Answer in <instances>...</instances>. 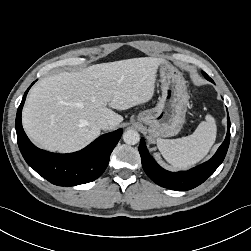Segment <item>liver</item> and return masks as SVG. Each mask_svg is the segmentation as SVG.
<instances>
[{
    "label": "liver",
    "instance_id": "obj_1",
    "mask_svg": "<svg viewBox=\"0 0 251 251\" xmlns=\"http://www.w3.org/2000/svg\"><path fill=\"white\" fill-rule=\"evenodd\" d=\"M163 62L154 57L133 58L45 77L27 96L23 128L43 149L77 151L100 135L99 118L117 126L123 117L112 109L126 110L152 98L156 72Z\"/></svg>",
    "mask_w": 251,
    "mask_h": 251
}]
</instances>
